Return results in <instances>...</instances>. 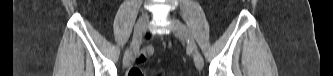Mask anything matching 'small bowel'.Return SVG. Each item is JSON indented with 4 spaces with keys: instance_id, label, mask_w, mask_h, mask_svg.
<instances>
[{
    "instance_id": "1",
    "label": "small bowel",
    "mask_w": 333,
    "mask_h": 76,
    "mask_svg": "<svg viewBox=\"0 0 333 76\" xmlns=\"http://www.w3.org/2000/svg\"><path fill=\"white\" fill-rule=\"evenodd\" d=\"M145 41L146 42H151L152 41V36L151 35H146L145 36ZM153 52V48L151 46H147L146 49H145V52L141 55H139L137 58H136V61L137 62H142L144 61L145 57L147 54H151ZM139 71H141L139 68H135Z\"/></svg>"
}]
</instances>
